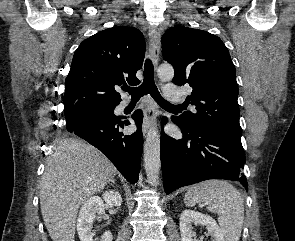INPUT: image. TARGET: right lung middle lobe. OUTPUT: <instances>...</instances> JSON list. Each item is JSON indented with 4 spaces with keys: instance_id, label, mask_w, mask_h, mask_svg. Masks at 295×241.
<instances>
[{
    "instance_id": "right-lung-middle-lobe-1",
    "label": "right lung middle lobe",
    "mask_w": 295,
    "mask_h": 241,
    "mask_svg": "<svg viewBox=\"0 0 295 241\" xmlns=\"http://www.w3.org/2000/svg\"><path fill=\"white\" fill-rule=\"evenodd\" d=\"M116 105H107V106H97V107H90L70 113L65 114L66 121L74 120L78 117L90 115V114H113L114 108Z\"/></svg>"
}]
</instances>
